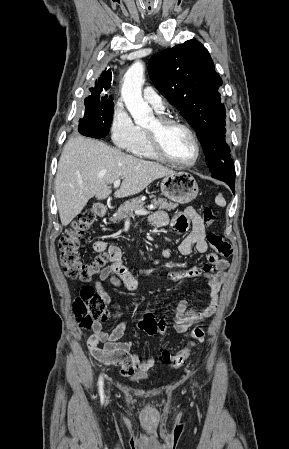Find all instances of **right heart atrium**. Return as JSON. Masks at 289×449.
<instances>
[{
  "mask_svg": "<svg viewBox=\"0 0 289 449\" xmlns=\"http://www.w3.org/2000/svg\"><path fill=\"white\" fill-rule=\"evenodd\" d=\"M110 131L114 144L131 152L138 146L142 137V129L135 124L122 105H116L113 110Z\"/></svg>",
  "mask_w": 289,
  "mask_h": 449,
  "instance_id": "right-heart-atrium-1",
  "label": "right heart atrium"
}]
</instances>
